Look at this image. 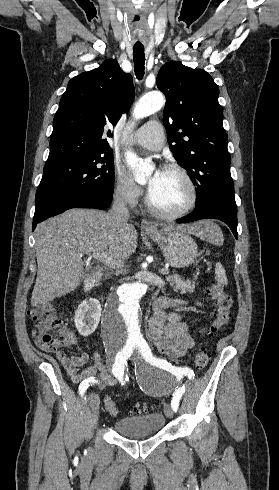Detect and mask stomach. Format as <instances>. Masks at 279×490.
Returning a JSON list of instances; mask_svg holds the SVG:
<instances>
[{
  "label": "stomach",
  "mask_w": 279,
  "mask_h": 490,
  "mask_svg": "<svg viewBox=\"0 0 279 490\" xmlns=\"http://www.w3.org/2000/svg\"><path fill=\"white\" fill-rule=\"evenodd\" d=\"M147 234L159 244L165 260L172 268H188L199 256L196 242L182 230H168L162 226V230Z\"/></svg>",
  "instance_id": "0dacf381"
}]
</instances>
